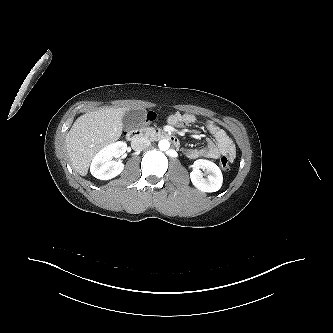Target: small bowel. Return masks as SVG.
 <instances>
[{"mask_svg":"<svg viewBox=\"0 0 333 333\" xmlns=\"http://www.w3.org/2000/svg\"><path fill=\"white\" fill-rule=\"evenodd\" d=\"M167 122L172 127H180L195 124L197 119L191 113L176 112L167 118ZM204 127L213 136L214 140L208 139L206 146L202 148L188 149L186 151L187 157L190 159H218L227 156L232 162L235 159V145L230 136L211 120H207Z\"/></svg>","mask_w":333,"mask_h":333,"instance_id":"small-bowel-1","label":"small bowel"}]
</instances>
